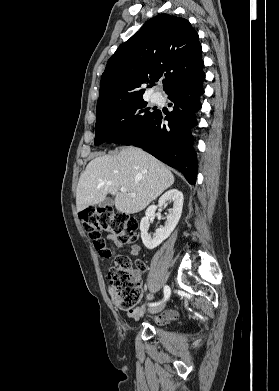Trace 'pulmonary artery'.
Returning <instances> with one entry per match:
<instances>
[{"label": "pulmonary artery", "instance_id": "e3ab8cb5", "mask_svg": "<svg viewBox=\"0 0 279 391\" xmlns=\"http://www.w3.org/2000/svg\"><path fill=\"white\" fill-rule=\"evenodd\" d=\"M153 101L155 103H161L163 101V98L160 95H154L153 96Z\"/></svg>", "mask_w": 279, "mask_h": 391}]
</instances>
